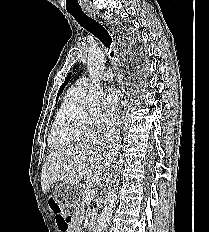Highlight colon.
I'll list each match as a JSON object with an SVG mask.
<instances>
[{
  "label": "colon",
  "mask_w": 209,
  "mask_h": 232,
  "mask_svg": "<svg viewBox=\"0 0 209 232\" xmlns=\"http://www.w3.org/2000/svg\"><path fill=\"white\" fill-rule=\"evenodd\" d=\"M47 206H51V211L56 213V222L60 229H65L71 222V216L69 213L60 210V206H56V201L53 197L47 198Z\"/></svg>",
  "instance_id": "colon-1"
}]
</instances>
